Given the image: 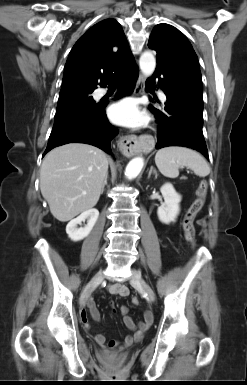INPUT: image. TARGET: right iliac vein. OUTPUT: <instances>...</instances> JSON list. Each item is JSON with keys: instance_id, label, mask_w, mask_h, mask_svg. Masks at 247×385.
Wrapping results in <instances>:
<instances>
[{"instance_id": "right-iliac-vein-1", "label": "right iliac vein", "mask_w": 247, "mask_h": 385, "mask_svg": "<svg viewBox=\"0 0 247 385\" xmlns=\"http://www.w3.org/2000/svg\"><path fill=\"white\" fill-rule=\"evenodd\" d=\"M103 279V272L99 271L95 274V276L91 279L90 283L88 284L87 288L83 291V293L80 296V305L85 306L89 295L93 288H95Z\"/></svg>"}]
</instances>
